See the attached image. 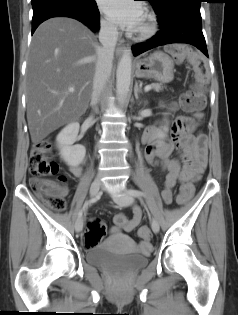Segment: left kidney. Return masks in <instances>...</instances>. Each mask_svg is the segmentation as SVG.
I'll list each match as a JSON object with an SVG mask.
<instances>
[{"instance_id": "5707ae66", "label": "left kidney", "mask_w": 238, "mask_h": 315, "mask_svg": "<svg viewBox=\"0 0 238 315\" xmlns=\"http://www.w3.org/2000/svg\"><path fill=\"white\" fill-rule=\"evenodd\" d=\"M164 137H165V131L159 129V130L157 131V138L163 139Z\"/></svg>"}]
</instances>
